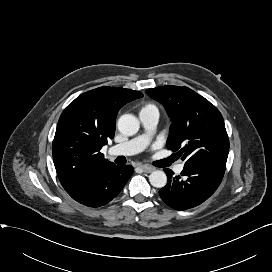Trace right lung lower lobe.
<instances>
[{
    "label": "right lung lower lobe",
    "instance_id": "right-lung-lower-lobe-1",
    "mask_svg": "<svg viewBox=\"0 0 272 272\" xmlns=\"http://www.w3.org/2000/svg\"><path fill=\"white\" fill-rule=\"evenodd\" d=\"M132 173L131 165L121 167L113 163L98 169L66 192L85 206L99 207L120 193Z\"/></svg>",
    "mask_w": 272,
    "mask_h": 272
}]
</instances>
